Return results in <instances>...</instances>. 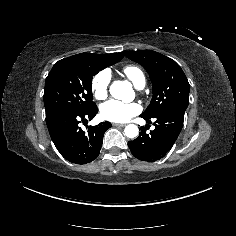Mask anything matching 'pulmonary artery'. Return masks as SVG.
<instances>
[{
    "label": "pulmonary artery",
    "instance_id": "pulmonary-artery-1",
    "mask_svg": "<svg viewBox=\"0 0 236 236\" xmlns=\"http://www.w3.org/2000/svg\"><path fill=\"white\" fill-rule=\"evenodd\" d=\"M139 90L143 89L144 88V84H141L137 87Z\"/></svg>",
    "mask_w": 236,
    "mask_h": 236
}]
</instances>
